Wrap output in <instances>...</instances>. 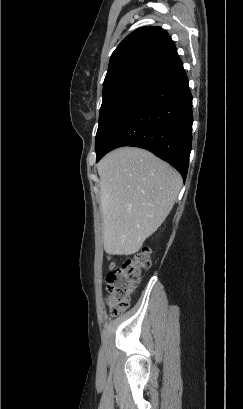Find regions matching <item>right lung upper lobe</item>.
<instances>
[{
    "label": "right lung upper lobe",
    "instance_id": "cb5924a9",
    "mask_svg": "<svg viewBox=\"0 0 243 409\" xmlns=\"http://www.w3.org/2000/svg\"><path fill=\"white\" fill-rule=\"evenodd\" d=\"M182 61L174 42L161 27H141L112 53L103 92L111 84L135 76L162 79Z\"/></svg>",
    "mask_w": 243,
    "mask_h": 409
}]
</instances>
